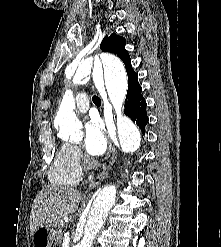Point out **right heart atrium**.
I'll return each instance as SVG.
<instances>
[{"instance_id": "obj_1", "label": "right heart atrium", "mask_w": 221, "mask_h": 247, "mask_svg": "<svg viewBox=\"0 0 221 247\" xmlns=\"http://www.w3.org/2000/svg\"><path fill=\"white\" fill-rule=\"evenodd\" d=\"M75 152H76L77 159H78V161L80 163L82 161V159H83V154L80 151V149H78V148H75Z\"/></svg>"}]
</instances>
